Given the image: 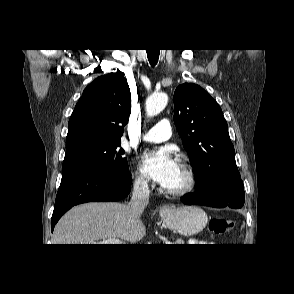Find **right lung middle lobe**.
Masks as SVG:
<instances>
[{
  "label": "right lung middle lobe",
  "mask_w": 294,
  "mask_h": 294,
  "mask_svg": "<svg viewBox=\"0 0 294 294\" xmlns=\"http://www.w3.org/2000/svg\"><path fill=\"white\" fill-rule=\"evenodd\" d=\"M120 142L94 139L79 140L66 144L62 178L82 170H96L114 174L128 173L127 159Z\"/></svg>",
  "instance_id": "dd1d6c3e"
}]
</instances>
